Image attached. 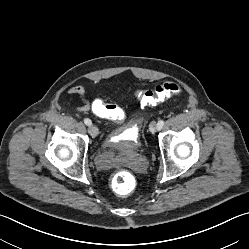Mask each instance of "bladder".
Instances as JSON below:
<instances>
[{
  "mask_svg": "<svg viewBox=\"0 0 249 249\" xmlns=\"http://www.w3.org/2000/svg\"><path fill=\"white\" fill-rule=\"evenodd\" d=\"M107 158H100L98 166L101 169L111 167L117 157L139 154L143 151V143L133 125L125 124L122 128L108 136L105 140Z\"/></svg>",
  "mask_w": 249,
  "mask_h": 249,
  "instance_id": "1",
  "label": "bladder"
}]
</instances>
